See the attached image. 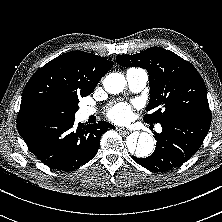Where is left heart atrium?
<instances>
[{"label": "left heart atrium", "instance_id": "39dd6f15", "mask_svg": "<svg viewBox=\"0 0 222 222\" xmlns=\"http://www.w3.org/2000/svg\"><path fill=\"white\" fill-rule=\"evenodd\" d=\"M110 120L116 123L129 122L133 117L132 108L127 103H117L113 105L107 112Z\"/></svg>", "mask_w": 222, "mask_h": 222}]
</instances>
